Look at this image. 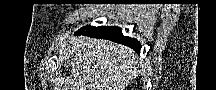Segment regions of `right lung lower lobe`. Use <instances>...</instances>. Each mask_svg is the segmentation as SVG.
I'll use <instances>...</instances> for the list:
<instances>
[{
	"instance_id": "1",
	"label": "right lung lower lobe",
	"mask_w": 216,
	"mask_h": 90,
	"mask_svg": "<svg viewBox=\"0 0 216 90\" xmlns=\"http://www.w3.org/2000/svg\"><path fill=\"white\" fill-rule=\"evenodd\" d=\"M75 35H85L89 37L99 38V39H108L117 43L124 44L134 49L137 53L140 52V43L133 38L123 36L121 29L119 27L111 26H85L79 29Z\"/></svg>"
}]
</instances>
